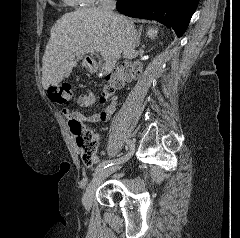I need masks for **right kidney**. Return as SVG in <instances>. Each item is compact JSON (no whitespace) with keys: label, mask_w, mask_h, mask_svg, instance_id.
Masks as SVG:
<instances>
[{"label":"right kidney","mask_w":240,"mask_h":238,"mask_svg":"<svg viewBox=\"0 0 240 238\" xmlns=\"http://www.w3.org/2000/svg\"><path fill=\"white\" fill-rule=\"evenodd\" d=\"M157 33H158V30H157V29H154V28H151V29H149V30L147 31V35H148V37L151 38V39H154L155 36L157 35Z\"/></svg>","instance_id":"ca27d5eb"}]
</instances>
